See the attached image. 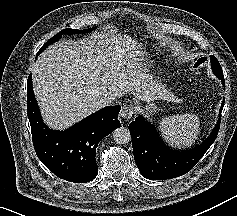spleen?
Wrapping results in <instances>:
<instances>
[{
	"label": "spleen",
	"instance_id": "obj_1",
	"mask_svg": "<svg viewBox=\"0 0 237 216\" xmlns=\"http://www.w3.org/2000/svg\"><path fill=\"white\" fill-rule=\"evenodd\" d=\"M200 122L195 115H176L163 118L159 131L165 142L174 148L191 147L198 138Z\"/></svg>",
	"mask_w": 237,
	"mask_h": 216
}]
</instances>
